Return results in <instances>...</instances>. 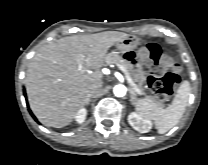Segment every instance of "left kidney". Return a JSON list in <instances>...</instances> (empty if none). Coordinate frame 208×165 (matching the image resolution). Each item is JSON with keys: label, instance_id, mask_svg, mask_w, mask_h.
I'll list each match as a JSON object with an SVG mask.
<instances>
[{"label": "left kidney", "instance_id": "obj_1", "mask_svg": "<svg viewBox=\"0 0 208 165\" xmlns=\"http://www.w3.org/2000/svg\"><path fill=\"white\" fill-rule=\"evenodd\" d=\"M128 122L132 128L139 133H147L152 129L151 121L148 118H144L135 112L129 114Z\"/></svg>", "mask_w": 208, "mask_h": 165}]
</instances>
